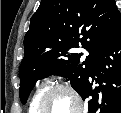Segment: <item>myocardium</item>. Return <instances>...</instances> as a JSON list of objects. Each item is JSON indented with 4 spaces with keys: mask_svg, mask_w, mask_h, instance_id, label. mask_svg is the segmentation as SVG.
<instances>
[{
    "mask_svg": "<svg viewBox=\"0 0 121 113\" xmlns=\"http://www.w3.org/2000/svg\"><path fill=\"white\" fill-rule=\"evenodd\" d=\"M61 91L69 93L71 95V97L74 99L75 107L73 110L83 109V99L75 87H73L72 85L67 84V83H56V84H53V85L47 87L43 91V93L41 94V97L37 103L36 110L45 109L44 105H46L48 98L50 96H52L53 94H55L57 92H61Z\"/></svg>",
    "mask_w": 121,
    "mask_h": 113,
    "instance_id": "myocardium-1",
    "label": "myocardium"
}]
</instances>
